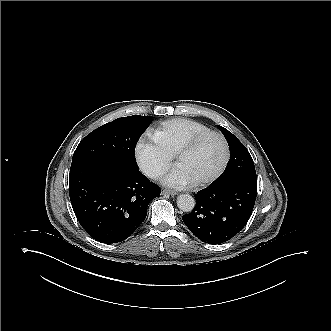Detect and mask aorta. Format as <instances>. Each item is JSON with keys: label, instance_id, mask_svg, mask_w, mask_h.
Returning <instances> with one entry per match:
<instances>
[{"label": "aorta", "instance_id": "1", "mask_svg": "<svg viewBox=\"0 0 331 331\" xmlns=\"http://www.w3.org/2000/svg\"><path fill=\"white\" fill-rule=\"evenodd\" d=\"M195 204L196 202L194 198L189 194H180L177 197V206L183 212H192L195 207Z\"/></svg>", "mask_w": 331, "mask_h": 331}]
</instances>
